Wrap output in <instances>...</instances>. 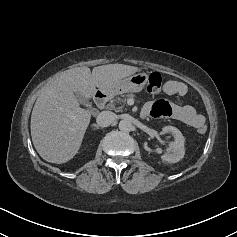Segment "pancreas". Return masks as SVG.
Here are the masks:
<instances>
[{"label":"pancreas","instance_id":"pancreas-1","mask_svg":"<svg viewBox=\"0 0 237 237\" xmlns=\"http://www.w3.org/2000/svg\"><path fill=\"white\" fill-rule=\"evenodd\" d=\"M130 98H134V95H133V94H127V95L124 96L123 99H121V98L118 97V98H116L115 100H112V101L108 104V108H109V109H113V110H115V111H121V110L124 108V106H125V104H126V101H127L128 99H130ZM116 103H120L121 106L116 107Z\"/></svg>","mask_w":237,"mask_h":237}]
</instances>
